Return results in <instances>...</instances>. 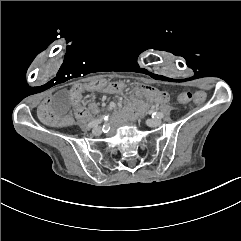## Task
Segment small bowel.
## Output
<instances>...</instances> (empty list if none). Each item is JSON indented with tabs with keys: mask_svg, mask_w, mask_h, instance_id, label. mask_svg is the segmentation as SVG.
<instances>
[{
	"mask_svg": "<svg viewBox=\"0 0 241 241\" xmlns=\"http://www.w3.org/2000/svg\"><path fill=\"white\" fill-rule=\"evenodd\" d=\"M103 82V89L98 92H105L108 94H120L121 92H127L130 89V84L127 81L122 82ZM133 90H140L146 92L151 98L156 100L158 103H163L166 100V95L163 92H157L149 85L140 82L132 84ZM88 91V90H87ZM91 92V91H89ZM53 106V100L48 95H43L39 98L38 103L36 105L37 113L35 115L36 123L41 127H52L56 126L59 123V120L56 114L51 110ZM90 109L92 112L96 111V106L94 104L90 105ZM75 118L72 115H67L65 118L61 119L60 124L63 127H66L72 123H74Z\"/></svg>",
	"mask_w": 241,
	"mask_h": 241,
	"instance_id": "1",
	"label": "small bowel"
}]
</instances>
